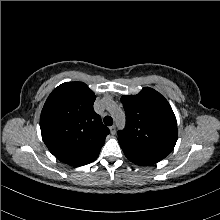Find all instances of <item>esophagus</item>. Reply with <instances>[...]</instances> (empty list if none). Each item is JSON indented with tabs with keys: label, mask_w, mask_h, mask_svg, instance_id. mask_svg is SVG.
Segmentation results:
<instances>
[{
	"label": "esophagus",
	"mask_w": 220,
	"mask_h": 220,
	"mask_svg": "<svg viewBox=\"0 0 220 220\" xmlns=\"http://www.w3.org/2000/svg\"><path fill=\"white\" fill-rule=\"evenodd\" d=\"M110 132H111V134H115V132H116V127L114 126V125H112L111 127H110Z\"/></svg>",
	"instance_id": "esophagus-1"
}]
</instances>
